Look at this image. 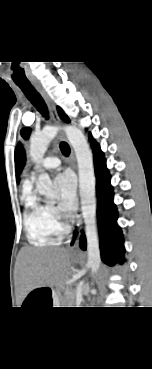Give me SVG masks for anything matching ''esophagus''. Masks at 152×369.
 I'll return each mask as SVG.
<instances>
[{
    "label": "esophagus",
    "mask_w": 152,
    "mask_h": 369,
    "mask_svg": "<svg viewBox=\"0 0 152 369\" xmlns=\"http://www.w3.org/2000/svg\"><path fill=\"white\" fill-rule=\"evenodd\" d=\"M32 85L34 86V88L41 94V96L43 97V99L45 100L51 115L54 119V121L57 124H61V119L58 115L57 109L55 107L54 102L52 101V99L50 98V96L47 94V92L45 91V89L42 87V85L38 82H33ZM61 136L63 138H65V132L62 130L61 131ZM71 155H72V159L75 161V154L73 149H71ZM81 225H82V220L81 218H79L77 220L76 226L74 228V230L72 231V233L70 234L68 240H67V247L71 248V249H76L78 248V243H79V239H80V231H81Z\"/></svg>",
    "instance_id": "34e87169"
}]
</instances>
